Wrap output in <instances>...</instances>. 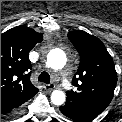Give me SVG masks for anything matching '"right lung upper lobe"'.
<instances>
[{"label":"right lung upper lobe","mask_w":122,"mask_h":122,"mask_svg":"<svg viewBox=\"0 0 122 122\" xmlns=\"http://www.w3.org/2000/svg\"><path fill=\"white\" fill-rule=\"evenodd\" d=\"M43 34L26 26L14 27L1 35V101L24 103L38 89L30 81L32 69L28 58Z\"/></svg>","instance_id":"obj_1"}]
</instances>
